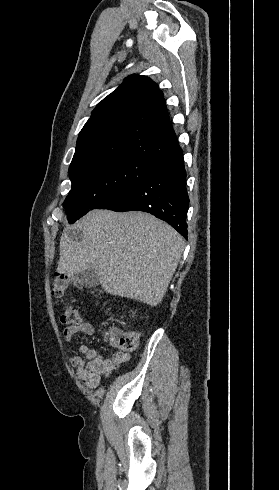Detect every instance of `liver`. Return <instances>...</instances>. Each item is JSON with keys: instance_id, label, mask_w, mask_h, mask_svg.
<instances>
[{"instance_id": "1", "label": "liver", "mask_w": 279, "mask_h": 490, "mask_svg": "<svg viewBox=\"0 0 279 490\" xmlns=\"http://www.w3.org/2000/svg\"><path fill=\"white\" fill-rule=\"evenodd\" d=\"M74 226L83 240L62 234L58 274L94 268L104 292L148 306L162 302L184 250L176 230L146 212L109 210H92Z\"/></svg>"}]
</instances>
